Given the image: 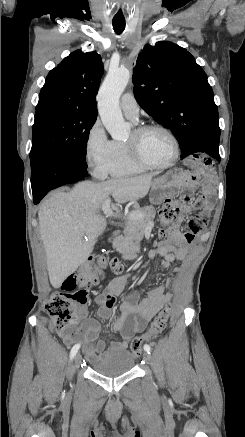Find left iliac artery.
<instances>
[{
  "label": "left iliac artery",
  "mask_w": 245,
  "mask_h": 437,
  "mask_svg": "<svg viewBox=\"0 0 245 437\" xmlns=\"http://www.w3.org/2000/svg\"><path fill=\"white\" fill-rule=\"evenodd\" d=\"M144 350H145L148 354H150V352H151V347H150L148 344H145V345H144Z\"/></svg>",
  "instance_id": "44dca946"
}]
</instances>
